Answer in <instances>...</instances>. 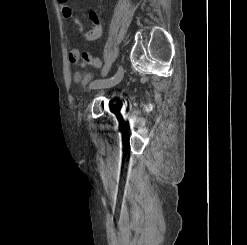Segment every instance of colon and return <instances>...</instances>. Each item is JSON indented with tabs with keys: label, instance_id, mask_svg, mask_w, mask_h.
Returning a JSON list of instances; mask_svg holds the SVG:
<instances>
[{
	"label": "colon",
	"instance_id": "colon-1",
	"mask_svg": "<svg viewBox=\"0 0 247 245\" xmlns=\"http://www.w3.org/2000/svg\"><path fill=\"white\" fill-rule=\"evenodd\" d=\"M76 23L80 25V21L78 18L75 19ZM79 31L81 32L82 31V28L79 29Z\"/></svg>",
	"mask_w": 247,
	"mask_h": 245
}]
</instances>
